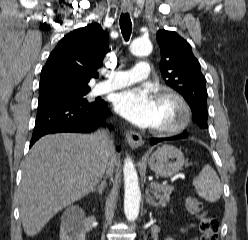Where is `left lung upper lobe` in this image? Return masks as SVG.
Here are the masks:
<instances>
[{"instance_id":"5c2ea615","label":"left lung upper lobe","mask_w":248,"mask_h":240,"mask_svg":"<svg viewBox=\"0 0 248 240\" xmlns=\"http://www.w3.org/2000/svg\"><path fill=\"white\" fill-rule=\"evenodd\" d=\"M157 41L161 51L163 79L187 101L194 122L200 128H208L206 79L190 44L176 32L164 29L157 32Z\"/></svg>"}]
</instances>
